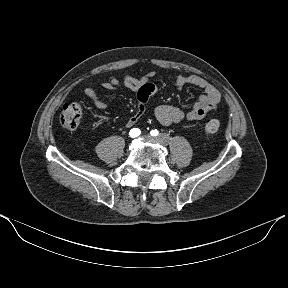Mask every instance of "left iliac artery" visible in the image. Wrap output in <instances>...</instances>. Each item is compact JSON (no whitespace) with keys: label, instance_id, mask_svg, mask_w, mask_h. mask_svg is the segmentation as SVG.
I'll list each match as a JSON object with an SVG mask.
<instances>
[{"label":"left iliac artery","instance_id":"1","mask_svg":"<svg viewBox=\"0 0 288 288\" xmlns=\"http://www.w3.org/2000/svg\"><path fill=\"white\" fill-rule=\"evenodd\" d=\"M156 132H158V130H156V129L151 130V132H150L151 136H155Z\"/></svg>","mask_w":288,"mask_h":288}]
</instances>
